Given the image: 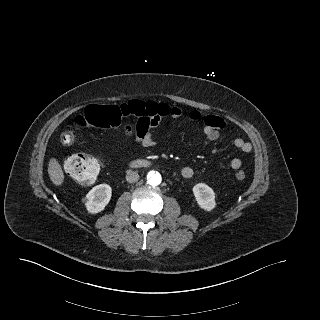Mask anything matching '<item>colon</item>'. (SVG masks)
<instances>
[{
  "mask_svg": "<svg viewBox=\"0 0 320 320\" xmlns=\"http://www.w3.org/2000/svg\"><path fill=\"white\" fill-rule=\"evenodd\" d=\"M167 112L165 105L154 103H143L140 101L131 104L116 105H90L83 114L75 118L74 125L68 127L62 133V140L66 144L74 141L77 127L112 128L118 126L122 119L129 113L138 116V123H143L145 115L148 114L152 122H158L162 115ZM157 114V116H156ZM101 161L86 154L70 155L65 163L66 171L79 184L88 185L92 183L98 175ZM237 180L242 181L246 175L243 171L235 174Z\"/></svg>",
  "mask_w": 320,
  "mask_h": 320,
  "instance_id": "1",
  "label": "colon"
}]
</instances>
